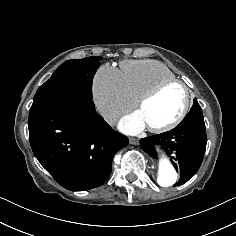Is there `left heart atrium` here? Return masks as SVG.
Listing matches in <instances>:
<instances>
[{"label": "left heart atrium", "instance_id": "39dd6f15", "mask_svg": "<svg viewBox=\"0 0 236 236\" xmlns=\"http://www.w3.org/2000/svg\"><path fill=\"white\" fill-rule=\"evenodd\" d=\"M146 127L145 120L140 111H135L125 116L119 124V128L128 134H138Z\"/></svg>", "mask_w": 236, "mask_h": 236}]
</instances>
